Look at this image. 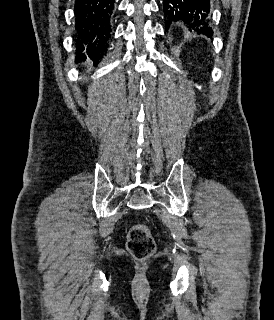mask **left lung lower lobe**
Instances as JSON below:
<instances>
[{
	"mask_svg": "<svg viewBox=\"0 0 274 320\" xmlns=\"http://www.w3.org/2000/svg\"><path fill=\"white\" fill-rule=\"evenodd\" d=\"M210 0H163L166 21V30L174 21H184L195 28L198 33L212 36L213 31L209 27Z\"/></svg>",
	"mask_w": 274,
	"mask_h": 320,
	"instance_id": "1",
	"label": "left lung lower lobe"
}]
</instances>
